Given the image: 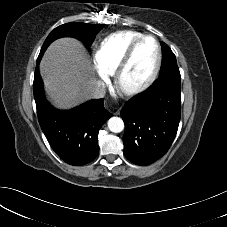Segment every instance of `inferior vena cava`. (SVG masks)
<instances>
[{
	"mask_svg": "<svg viewBox=\"0 0 227 227\" xmlns=\"http://www.w3.org/2000/svg\"><path fill=\"white\" fill-rule=\"evenodd\" d=\"M106 93V86L102 81H96L90 89V96L92 98H103Z\"/></svg>",
	"mask_w": 227,
	"mask_h": 227,
	"instance_id": "602c4592",
	"label": "inferior vena cava"
}]
</instances>
